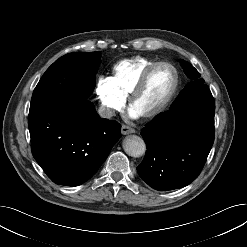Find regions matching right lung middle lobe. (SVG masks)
<instances>
[{
  "instance_id": "obj_1",
  "label": "right lung middle lobe",
  "mask_w": 247,
  "mask_h": 247,
  "mask_svg": "<svg viewBox=\"0 0 247 247\" xmlns=\"http://www.w3.org/2000/svg\"><path fill=\"white\" fill-rule=\"evenodd\" d=\"M101 53L75 52L56 60L34 89L30 109L51 99L77 103L87 99L95 86Z\"/></svg>"
}]
</instances>
